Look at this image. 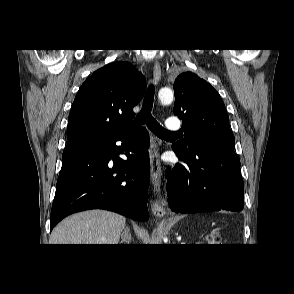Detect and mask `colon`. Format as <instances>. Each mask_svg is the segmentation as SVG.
I'll return each mask as SVG.
<instances>
[{"mask_svg": "<svg viewBox=\"0 0 294 294\" xmlns=\"http://www.w3.org/2000/svg\"><path fill=\"white\" fill-rule=\"evenodd\" d=\"M206 242L210 246L216 245L218 242V237H217L216 233L215 232L209 233L206 237Z\"/></svg>", "mask_w": 294, "mask_h": 294, "instance_id": "obj_1", "label": "colon"}]
</instances>
